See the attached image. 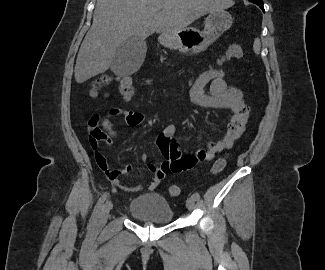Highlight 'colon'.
Listing matches in <instances>:
<instances>
[{
  "mask_svg": "<svg viewBox=\"0 0 325 270\" xmlns=\"http://www.w3.org/2000/svg\"><path fill=\"white\" fill-rule=\"evenodd\" d=\"M243 55H244L243 49L239 45L233 44V45H230L227 48V50L224 52V54H222V56H220L216 60L215 64L222 65L223 63H225L226 61H229L231 59L240 60L243 58ZM212 69H214V68L212 66H210L207 69L196 73L194 76H192L187 81V86H189L191 88L194 84H196L200 80V77L204 71H208V70H212ZM112 80H113V77L109 76V75H103L100 78H98L92 84V87L90 89V95L92 97H96L99 93V90L103 86L109 84ZM117 81H118V90H119L121 97L125 100L131 99L134 95L133 80L130 77H121V78H118ZM106 128H107L106 125L101 127L99 125V121H89L88 122L87 130H88V134H89V142H90L91 147L94 150L97 149L99 141H102V140L106 141L109 139V135L106 131ZM226 163H227L226 157L219 158L213 164L212 172L213 173L221 172L225 168ZM180 193H181V189L179 186L172 185L169 187L170 196L177 197L180 195Z\"/></svg>",
  "mask_w": 325,
  "mask_h": 270,
  "instance_id": "obj_1",
  "label": "colon"
}]
</instances>
